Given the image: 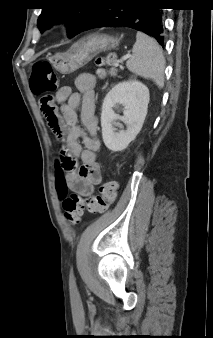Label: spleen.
<instances>
[{"mask_svg": "<svg viewBox=\"0 0 213 338\" xmlns=\"http://www.w3.org/2000/svg\"><path fill=\"white\" fill-rule=\"evenodd\" d=\"M133 56L127 61L129 71L145 79H151L162 88L164 86L165 58L158 43L148 35L137 32Z\"/></svg>", "mask_w": 213, "mask_h": 338, "instance_id": "3e777b00", "label": "spleen"}]
</instances>
